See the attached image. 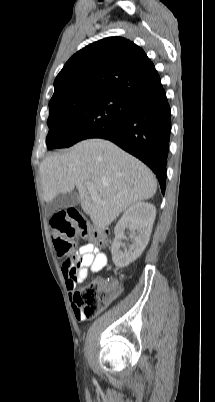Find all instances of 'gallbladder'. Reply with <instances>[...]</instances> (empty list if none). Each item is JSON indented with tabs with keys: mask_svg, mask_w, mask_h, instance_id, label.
I'll list each match as a JSON object with an SVG mask.
<instances>
[{
	"mask_svg": "<svg viewBox=\"0 0 215 402\" xmlns=\"http://www.w3.org/2000/svg\"><path fill=\"white\" fill-rule=\"evenodd\" d=\"M80 198L76 192L60 193L53 200L47 203L46 211L49 216L62 208L79 204Z\"/></svg>",
	"mask_w": 215,
	"mask_h": 402,
	"instance_id": "1",
	"label": "gallbladder"
}]
</instances>
